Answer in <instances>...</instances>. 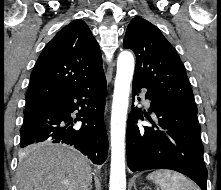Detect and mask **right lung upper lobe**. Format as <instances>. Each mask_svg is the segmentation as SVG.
<instances>
[{"mask_svg": "<svg viewBox=\"0 0 221 190\" xmlns=\"http://www.w3.org/2000/svg\"><path fill=\"white\" fill-rule=\"evenodd\" d=\"M104 74L99 46L87 24L77 19L46 45L31 73L25 110L89 84Z\"/></svg>", "mask_w": 221, "mask_h": 190, "instance_id": "cb5924a9", "label": "right lung upper lobe"}]
</instances>
